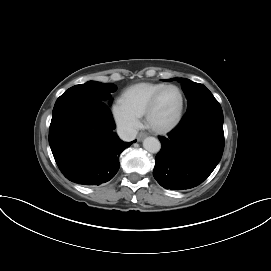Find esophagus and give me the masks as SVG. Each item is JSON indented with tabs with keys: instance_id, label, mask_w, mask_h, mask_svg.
<instances>
[{
	"instance_id": "1",
	"label": "esophagus",
	"mask_w": 271,
	"mask_h": 271,
	"mask_svg": "<svg viewBox=\"0 0 271 271\" xmlns=\"http://www.w3.org/2000/svg\"><path fill=\"white\" fill-rule=\"evenodd\" d=\"M145 137H147V134L145 132H140L137 136V141H142Z\"/></svg>"
}]
</instances>
